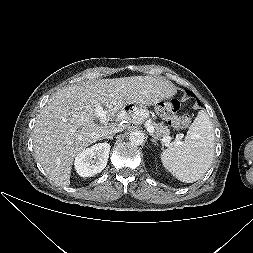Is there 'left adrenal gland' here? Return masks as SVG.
I'll list each match as a JSON object with an SVG mask.
<instances>
[{"instance_id": "1", "label": "left adrenal gland", "mask_w": 253, "mask_h": 253, "mask_svg": "<svg viewBox=\"0 0 253 253\" xmlns=\"http://www.w3.org/2000/svg\"><path fill=\"white\" fill-rule=\"evenodd\" d=\"M152 135V137H153V139L151 140L155 145H157V140H158V137L157 136H155V135H153V134H151Z\"/></svg>"}]
</instances>
